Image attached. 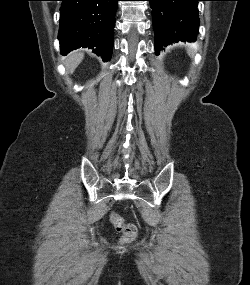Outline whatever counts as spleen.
<instances>
[{"instance_id":"1","label":"spleen","mask_w":250,"mask_h":285,"mask_svg":"<svg viewBox=\"0 0 250 285\" xmlns=\"http://www.w3.org/2000/svg\"><path fill=\"white\" fill-rule=\"evenodd\" d=\"M188 54H189L190 57H192V58L194 57V52L192 50H190V49L188 50Z\"/></svg>"}]
</instances>
